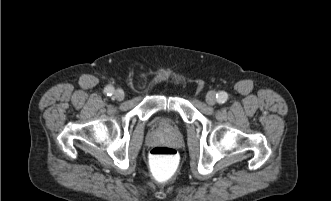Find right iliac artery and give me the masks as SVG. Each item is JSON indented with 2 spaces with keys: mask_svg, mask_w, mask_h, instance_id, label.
Returning <instances> with one entry per match:
<instances>
[{
  "mask_svg": "<svg viewBox=\"0 0 331 201\" xmlns=\"http://www.w3.org/2000/svg\"><path fill=\"white\" fill-rule=\"evenodd\" d=\"M104 92L108 95V96H112L114 94V88L112 86H107L104 90Z\"/></svg>",
  "mask_w": 331,
  "mask_h": 201,
  "instance_id": "obj_1",
  "label": "right iliac artery"
}]
</instances>
